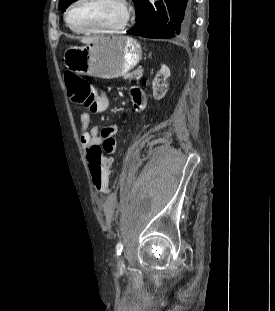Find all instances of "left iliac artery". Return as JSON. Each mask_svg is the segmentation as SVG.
Instances as JSON below:
<instances>
[{"label":"left iliac artery","mask_w":275,"mask_h":311,"mask_svg":"<svg viewBox=\"0 0 275 311\" xmlns=\"http://www.w3.org/2000/svg\"><path fill=\"white\" fill-rule=\"evenodd\" d=\"M122 250H123V244L121 242H119L116 245V253H117V255H121Z\"/></svg>","instance_id":"1"}]
</instances>
